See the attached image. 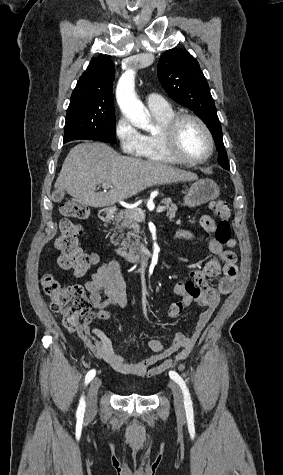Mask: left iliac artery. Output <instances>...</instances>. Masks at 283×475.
Segmentation results:
<instances>
[{"label":"left iliac artery","instance_id":"1","mask_svg":"<svg viewBox=\"0 0 283 475\" xmlns=\"http://www.w3.org/2000/svg\"><path fill=\"white\" fill-rule=\"evenodd\" d=\"M169 376L172 380H174L176 383H178L179 386L182 389V392L184 394V406H185V410H186V415L187 416H193L192 400H191L189 390L186 387V384H185L184 380L175 371H170Z\"/></svg>","mask_w":283,"mask_h":475}]
</instances>
